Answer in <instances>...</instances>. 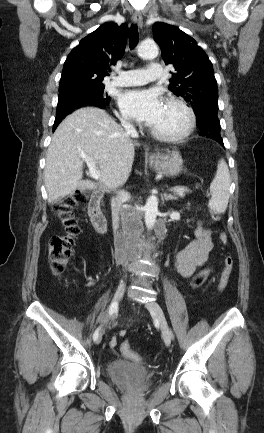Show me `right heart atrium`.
Here are the masks:
<instances>
[{"mask_svg":"<svg viewBox=\"0 0 264 433\" xmlns=\"http://www.w3.org/2000/svg\"><path fill=\"white\" fill-rule=\"evenodd\" d=\"M119 119H120L121 122H123V123H126V124H129V123H130L129 118H128L126 115H124V114L119 115Z\"/></svg>","mask_w":264,"mask_h":433,"instance_id":"1","label":"right heart atrium"}]
</instances>
